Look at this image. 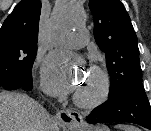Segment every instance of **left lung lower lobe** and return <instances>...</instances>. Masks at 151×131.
Instances as JSON below:
<instances>
[{
    "instance_id": "left-lung-lower-lobe-1",
    "label": "left lung lower lobe",
    "mask_w": 151,
    "mask_h": 131,
    "mask_svg": "<svg viewBox=\"0 0 151 131\" xmlns=\"http://www.w3.org/2000/svg\"><path fill=\"white\" fill-rule=\"evenodd\" d=\"M90 124L130 122L151 130V106L142 83H133L86 117Z\"/></svg>"
}]
</instances>
